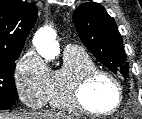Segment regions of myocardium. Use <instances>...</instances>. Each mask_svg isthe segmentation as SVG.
<instances>
[{
  "label": "myocardium",
  "mask_w": 142,
  "mask_h": 119,
  "mask_svg": "<svg viewBox=\"0 0 142 119\" xmlns=\"http://www.w3.org/2000/svg\"><path fill=\"white\" fill-rule=\"evenodd\" d=\"M99 77L108 79L116 88L118 94L116 104L107 111H96L90 108L85 101V92L87 88L95 79ZM65 98L70 107L75 111L97 117L114 114L122 106L124 100L122 86L118 79L110 72L97 67L84 70L76 76L70 78L65 86Z\"/></svg>",
  "instance_id": "obj_1"
}]
</instances>
